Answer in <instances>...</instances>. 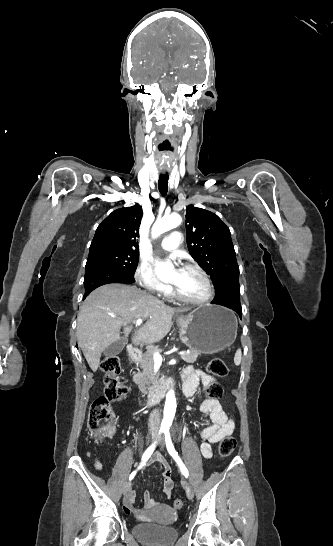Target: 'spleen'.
<instances>
[{
  "mask_svg": "<svg viewBox=\"0 0 333 546\" xmlns=\"http://www.w3.org/2000/svg\"><path fill=\"white\" fill-rule=\"evenodd\" d=\"M234 363L236 366L240 365L241 363V350L238 349L235 353V356H234Z\"/></svg>",
  "mask_w": 333,
  "mask_h": 546,
  "instance_id": "1",
  "label": "spleen"
}]
</instances>
